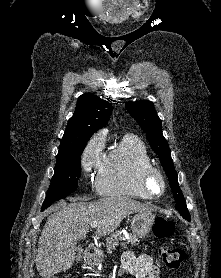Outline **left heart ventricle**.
Returning a JSON list of instances; mask_svg holds the SVG:
<instances>
[{
    "label": "left heart ventricle",
    "instance_id": "left-heart-ventricle-1",
    "mask_svg": "<svg viewBox=\"0 0 221 278\" xmlns=\"http://www.w3.org/2000/svg\"><path fill=\"white\" fill-rule=\"evenodd\" d=\"M154 188H155V190H157V189H158V185H157V184H155V185H154Z\"/></svg>",
    "mask_w": 221,
    "mask_h": 278
}]
</instances>
